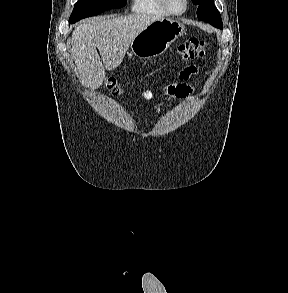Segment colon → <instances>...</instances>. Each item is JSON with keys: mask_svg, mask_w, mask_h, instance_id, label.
<instances>
[{"mask_svg": "<svg viewBox=\"0 0 288 293\" xmlns=\"http://www.w3.org/2000/svg\"><path fill=\"white\" fill-rule=\"evenodd\" d=\"M207 43L198 38H190L179 45L177 53L186 61L202 58L205 55ZM107 90L114 96L122 93V88L113 77L105 80Z\"/></svg>", "mask_w": 288, "mask_h": 293, "instance_id": "5ec220e1", "label": "colon"}]
</instances>
